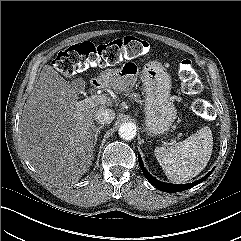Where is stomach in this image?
<instances>
[{"instance_id":"obj_1","label":"stomach","mask_w":241,"mask_h":241,"mask_svg":"<svg viewBox=\"0 0 241 241\" xmlns=\"http://www.w3.org/2000/svg\"><path fill=\"white\" fill-rule=\"evenodd\" d=\"M139 75L136 64L126 63L121 69L105 72L102 78L118 88L132 85ZM145 92V131L149 135L167 132L176 119L177 110L170 99L171 78L157 62H149L141 71Z\"/></svg>"}]
</instances>
